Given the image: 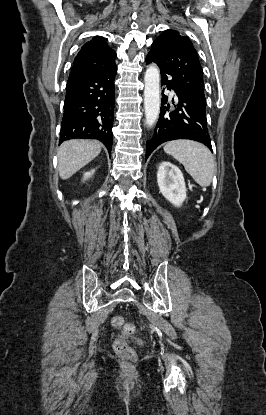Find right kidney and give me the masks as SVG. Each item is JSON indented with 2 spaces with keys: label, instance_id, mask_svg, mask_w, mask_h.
I'll return each mask as SVG.
<instances>
[{
  "label": "right kidney",
  "instance_id": "obj_1",
  "mask_svg": "<svg viewBox=\"0 0 266 415\" xmlns=\"http://www.w3.org/2000/svg\"><path fill=\"white\" fill-rule=\"evenodd\" d=\"M94 173V170L90 171V172H86L84 174V180L88 179L89 177H91Z\"/></svg>",
  "mask_w": 266,
  "mask_h": 415
}]
</instances>
